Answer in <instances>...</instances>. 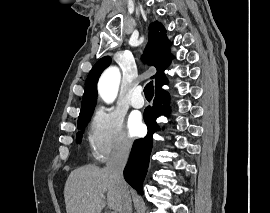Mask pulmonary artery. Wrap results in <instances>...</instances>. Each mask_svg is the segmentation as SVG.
I'll list each match as a JSON object with an SVG mask.
<instances>
[{"label":"pulmonary artery","mask_w":270,"mask_h":213,"mask_svg":"<svg viewBox=\"0 0 270 213\" xmlns=\"http://www.w3.org/2000/svg\"><path fill=\"white\" fill-rule=\"evenodd\" d=\"M130 102L135 108H142L144 106V98L140 87L133 90Z\"/></svg>","instance_id":"1"}]
</instances>
